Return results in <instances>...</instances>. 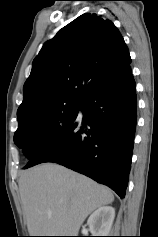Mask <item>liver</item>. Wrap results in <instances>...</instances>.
Wrapping results in <instances>:
<instances>
[{
  "label": "liver",
  "instance_id": "1",
  "mask_svg": "<svg viewBox=\"0 0 158 237\" xmlns=\"http://www.w3.org/2000/svg\"><path fill=\"white\" fill-rule=\"evenodd\" d=\"M18 184L30 236H77L89 214L114 200L106 186L53 163L24 171Z\"/></svg>",
  "mask_w": 158,
  "mask_h": 237
}]
</instances>
